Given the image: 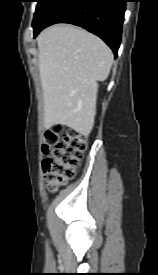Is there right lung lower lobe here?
<instances>
[{"instance_id":"1","label":"right lung lower lobe","mask_w":158,"mask_h":275,"mask_svg":"<svg viewBox=\"0 0 158 275\" xmlns=\"http://www.w3.org/2000/svg\"><path fill=\"white\" fill-rule=\"evenodd\" d=\"M126 0H57L33 25L34 36L49 25L70 23L103 39L117 55Z\"/></svg>"}]
</instances>
